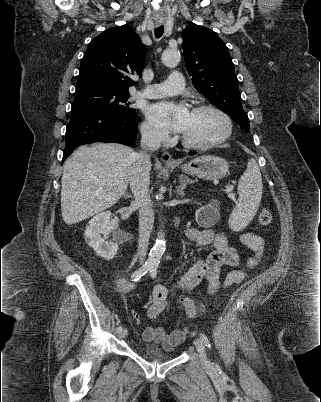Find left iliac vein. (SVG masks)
<instances>
[{"mask_svg":"<svg viewBox=\"0 0 321 402\" xmlns=\"http://www.w3.org/2000/svg\"><path fill=\"white\" fill-rule=\"evenodd\" d=\"M195 347L200 355L201 361L203 363V365L207 368L211 367V362L207 357L206 351H205V347L203 342L200 339H196L194 341Z\"/></svg>","mask_w":321,"mask_h":402,"instance_id":"obj_1","label":"left iliac vein"}]
</instances>
